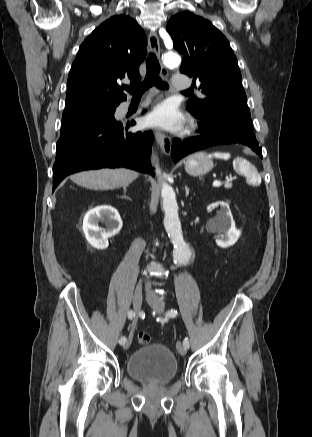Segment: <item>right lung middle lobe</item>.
Here are the masks:
<instances>
[{
  "mask_svg": "<svg viewBox=\"0 0 312 437\" xmlns=\"http://www.w3.org/2000/svg\"><path fill=\"white\" fill-rule=\"evenodd\" d=\"M115 109L116 106H84L66 109L62 116L60 137H67L78 131L114 121Z\"/></svg>",
  "mask_w": 312,
  "mask_h": 437,
  "instance_id": "1",
  "label": "right lung middle lobe"
}]
</instances>
